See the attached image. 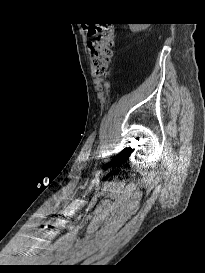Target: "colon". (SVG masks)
<instances>
[{
  "label": "colon",
  "mask_w": 205,
  "mask_h": 273,
  "mask_svg": "<svg viewBox=\"0 0 205 273\" xmlns=\"http://www.w3.org/2000/svg\"><path fill=\"white\" fill-rule=\"evenodd\" d=\"M94 39L88 44L90 60L95 76L104 78L107 75L114 46V25L106 23L92 27Z\"/></svg>",
  "instance_id": "colon-1"
}]
</instances>
